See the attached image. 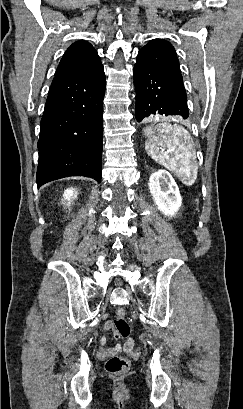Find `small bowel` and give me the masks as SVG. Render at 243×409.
<instances>
[{"label": "small bowel", "instance_id": "obj_1", "mask_svg": "<svg viewBox=\"0 0 243 409\" xmlns=\"http://www.w3.org/2000/svg\"><path fill=\"white\" fill-rule=\"evenodd\" d=\"M112 329H113V321L108 320L104 324L103 331H104V333H107ZM101 346H102L101 352L104 355L115 354V353H118V352H121V351H129L131 349V347H129V346L125 345V344H123V345L117 344V345L112 346V347L107 346V337H106V335H103L101 337Z\"/></svg>", "mask_w": 243, "mask_h": 409}]
</instances>
